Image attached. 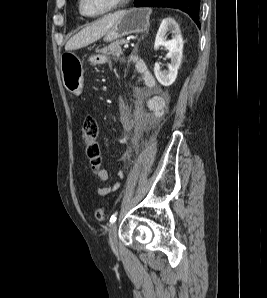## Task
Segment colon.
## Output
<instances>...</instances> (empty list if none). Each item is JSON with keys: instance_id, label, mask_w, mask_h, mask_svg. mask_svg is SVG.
<instances>
[{"instance_id": "obj_1", "label": "colon", "mask_w": 267, "mask_h": 298, "mask_svg": "<svg viewBox=\"0 0 267 298\" xmlns=\"http://www.w3.org/2000/svg\"><path fill=\"white\" fill-rule=\"evenodd\" d=\"M99 123L92 117L87 116L81 126V143L85 152L90 159L93 169H98L101 166L102 154L99 144ZM106 211L104 208H97L95 211V218L98 221L106 219Z\"/></svg>"}]
</instances>
